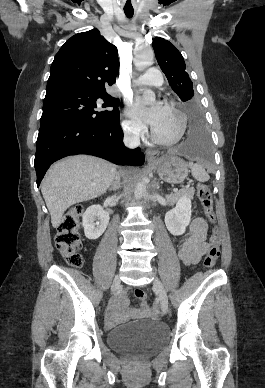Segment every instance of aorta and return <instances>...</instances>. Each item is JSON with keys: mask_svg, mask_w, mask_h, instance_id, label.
<instances>
[{"mask_svg": "<svg viewBox=\"0 0 265 388\" xmlns=\"http://www.w3.org/2000/svg\"><path fill=\"white\" fill-rule=\"evenodd\" d=\"M153 58H154V53L152 50H145V51H140L135 58V66L136 68L141 71L145 69L148 66H151L153 63ZM143 91V100L145 102H152L155 100V94L151 90H142ZM148 183V178L143 177L140 179L134 190V197L136 200H139L142 198L146 191Z\"/></svg>", "mask_w": 265, "mask_h": 388, "instance_id": "aorta-1", "label": "aorta"}]
</instances>
